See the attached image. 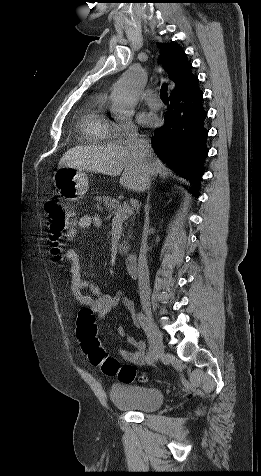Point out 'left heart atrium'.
I'll list each match as a JSON object with an SVG mask.
<instances>
[{
    "label": "left heart atrium",
    "instance_id": "39dd6f15",
    "mask_svg": "<svg viewBox=\"0 0 261 476\" xmlns=\"http://www.w3.org/2000/svg\"><path fill=\"white\" fill-rule=\"evenodd\" d=\"M143 125H152L155 122V117L150 113H141L138 118Z\"/></svg>",
    "mask_w": 261,
    "mask_h": 476
}]
</instances>
